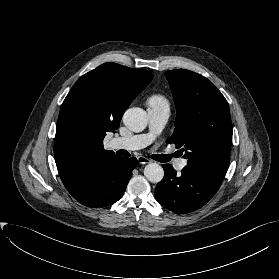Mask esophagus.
I'll return each instance as SVG.
<instances>
[{
    "instance_id": "obj_1",
    "label": "esophagus",
    "mask_w": 279,
    "mask_h": 279,
    "mask_svg": "<svg viewBox=\"0 0 279 279\" xmlns=\"http://www.w3.org/2000/svg\"><path fill=\"white\" fill-rule=\"evenodd\" d=\"M137 160H138V162L140 164H148V163H150V160L148 158L144 157V156H139L137 158Z\"/></svg>"
}]
</instances>
